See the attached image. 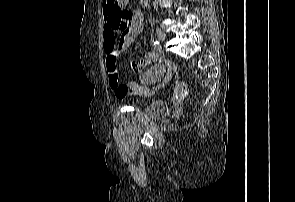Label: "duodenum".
Wrapping results in <instances>:
<instances>
[{
	"instance_id": "duodenum-1",
	"label": "duodenum",
	"mask_w": 295,
	"mask_h": 202,
	"mask_svg": "<svg viewBox=\"0 0 295 202\" xmlns=\"http://www.w3.org/2000/svg\"><path fill=\"white\" fill-rule=\"evenodd\" d=\"M148 2H149V0H141V3H142L143 5L148 4Z\"/></svg>"
}]
</instances>
